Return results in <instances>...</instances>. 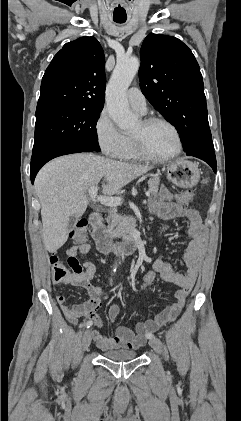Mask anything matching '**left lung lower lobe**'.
I'll return each mask as SVG.
<instances>
[{
  "instance_id": "obj_1",
  "label": "left lung lower lobe",
  "mask_w": 241,
  "mask_h": 421,
  "mask_svg": "<svg viewBox=\"0 0 241 421\" xmlns=\"http://www.w3.org/2000/svg\"><path fill=\"white\" fill-rule=\"evenodd\" d=\"M189 156H194V157H197L199 159H202L203 161H205L206 163H208L212 167L214 172H216V157H215L214 150H212V149H202V150L197 151L196 153H193Z\"/></svg>"
}]
</instances>
